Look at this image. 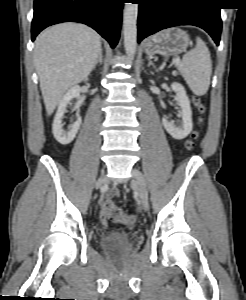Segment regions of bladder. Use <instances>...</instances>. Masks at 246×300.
Returning <instances> with one entry per match:
<instances>
[{
    "label": "bladder",
    "mask_w": 246,
    "mask_h": 300,
    "mask_svg": "<svg viewBox=\"0 0 246 300\" xmlns=\"http://www.w3.org/2000/svg\"><path fill=\"white\" fill-rule=\"evenodd\" d=\"M131 242V235L122 231H111L100 239L102 249L111 256H120L126 252Z\"/></svg>",
    "instance_id": "obj_1"
}]
</instances>
